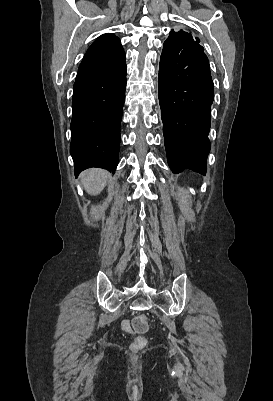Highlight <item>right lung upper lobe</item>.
<instances>
[{"label": "right lung upper lobe", "mask_w": 273, "mask_h": 401, "mask_svg": "<svg viewBox=\"0 0 273 401\" xmlns=\"http://www.w3.org/2000/svg\"><path fill=\"white\" fill-rule=\"evenodd\" d=\"M124 58L125 53L119 38L114 34L101 35L87 50L76 79L100 72Z\"/></svg>", "instance_id": "obj_1"}]
</instances>
